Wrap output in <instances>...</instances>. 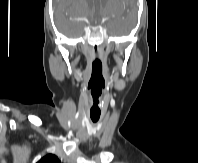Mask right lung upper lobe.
<instances>
[{"label":"right lung upper lobe","mask_w":198,"mask_h":163,"mask_svg":"<svg viewBox=\"0 0 198 163\" xmlns=\"http://www.w3.org/2000/svg\"><path fill=\"white\" fill-rule=\"evenodd\" d=\"M37 163H61L56 155L48 154L42 157Z\"/></svg>","instance_id":"right-lung-upper-lobe-1"}]
</instances>
